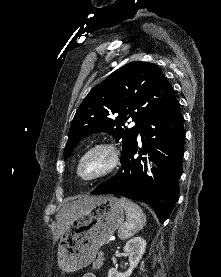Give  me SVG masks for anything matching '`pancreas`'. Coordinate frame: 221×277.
Segmentation results:
<instances>
[{"label":"pancreas","instance_id":"pancreas-1","mask_svg":"<svg viewBox=\"0 0 221 277\" xmlns=\"http://www.w3.org/2000/svg\"><path fill=\"white\" fill-rule=\"evenodd\" d=\"M103 255L98 254V258L93 262L92 268L94 270L100 269L101 266L103 265Z\"/></svg>","mask_w":221,"mask_h":277}]
</instances>
